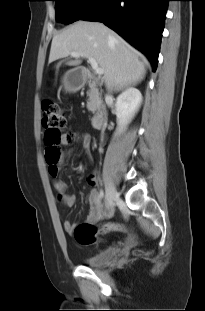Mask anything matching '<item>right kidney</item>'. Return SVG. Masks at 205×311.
<instances>
[{
    "instance_id": "1",
    "label": "right kidney",
    "mask_w": 205,
    "mask_h": 311,
    "mask_svg": "<svg viewBox=\"0 0 205 311\" xmlns=\"http://www.w3.org/2000/svg\"><path fill=\"white\" fill-rule=\"evenodd\" d=\"M142 103V94L134 87L127 88L116 99L118 132L123 131Z\"/></svg>"
}]
</instances>
